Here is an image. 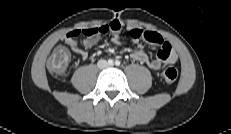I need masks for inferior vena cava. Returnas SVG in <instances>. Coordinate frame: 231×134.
Segmentation results:
<instances>
[{"mask_svg":"<svg viewBox=\"0 0 231 134\" xmlns=\"http://www.w3.org/2000/svg\"><path fill=\"white\" fill-rule=\"evenodd\" d=\"M97 65H98V67H99L100 69H103V68L108 67V63H107V61H105V60H99L98 63H97Z\"/></svg>","mask_w":231,"mask_h":134,"instance_id":"1","label":"inferior vena cava"}]
</instances>
